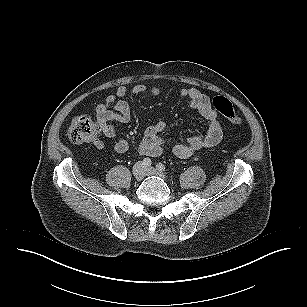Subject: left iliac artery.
<instances>
[{
    "label": "left iliac artery",
    "instance_id": "obj_1",
    "mask_svg": "<svg viewBox=\"0 0 307 307\" xmlns=\"http://www.w3.org/2000/svg\"><path fill=\"white\" fill-rule=\"evenodd\" d=\"M156 168H157V170H159V171H165V169H166V167H165V165H164L163 163H158V164L156 165Z\"/></svg>",
    "mask_w": 307,
    "mask_h": 307
}]
</instances>
